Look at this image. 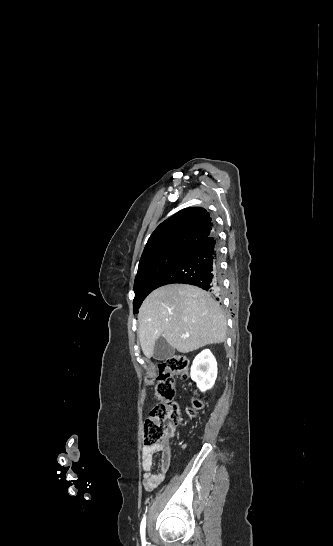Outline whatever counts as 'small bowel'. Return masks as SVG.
<instances>
[{"instance_id": "obj_1", "label": "small bowel", "mask_w": 333, "mask_h": 546, "mask_svg": "<svg viewBox=\"0 0 333 546\" xmlns=\"http://www.w3.org/2000/svg\"><path fill=\"white\" fill-rule=\"evenodd\" d=\"M160 454L159 468H154V457ZM171 455L170 452L162 445H146L142 449V469L144 471V488L151 491L160 485L166 478L167 471L170 467Z\"/></svg>"}]
</instances>
